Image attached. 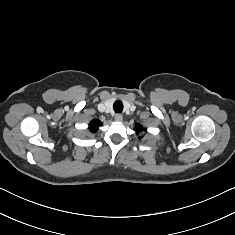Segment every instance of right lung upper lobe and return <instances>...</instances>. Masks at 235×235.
Masks as SVG:
<instances>
[{"instance_id": "right-lung-upper-lobe-1", "label": "right lung upper lobe", "mask_w": 235, "mask_h": 235, "mask_svg": "<svg viewBox=\"0 0 235 235\" xmlns=\"http://www.w3.org/2000/svg\"><path fill=\"white\" fill-rule=\"evenodd\" d=\"M100 125V121L98 120H92L89 124V129L91 132H95Z\"/></svg>"}]
</instances>
